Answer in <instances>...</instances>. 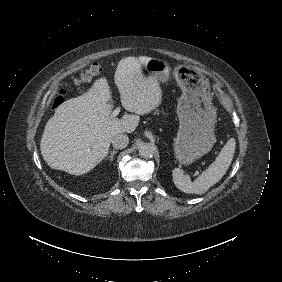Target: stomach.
<instances>
[{
    "mask_svg": "<svg viewBox=\"0 0 282 282\" xmlns=\"http://www.w3.org/2000/svg\"><path fill=\"white\" fill-rule=\"evenodd\" d=\"M143 67L161 83L170 78V68L163 60L150 58ZM173 76L182 89L177 105L180 126L174 139V152L181 164L189 165L208 153L216 142L217 114L212 104L209 80L204 75L179 66Z\"/></svg>",
    "mask_w": 282,
    "mask_h": 282,
    "instance_id": "stomach-1",
    "label": "stomach"
}]
</instances>
